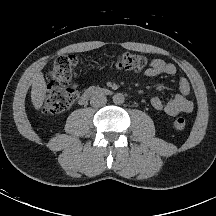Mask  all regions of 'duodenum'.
<instances>
[{
    "mask_svg": "<svg viewBox=\"0 0 216 216\" xmlns=\"http://www.w3.org/2000/svg\"><path fill=\"white\" fill-rule=\"evenodd\" d=\"M110 90L105 89V88H96V87H91L87 89L80 97L79 103L81 105H84L88 102V100L97 95H108L110 94Z\"/></svg>",
    "mask_w": 216,
    "mask_h": 216,
    "instance_id": "1",
    "label": "duodenum"
}]
</instances>
